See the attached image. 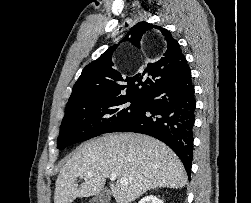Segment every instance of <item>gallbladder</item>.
<instances>
[{
    "label": "gallbladder",
    "instance_id": "bac80fb5",
    "mask_svg": "<svg viewBox=\"0 0 251 203\" xmlns=\"http://www.w3.org/2000/svg\"><path fill=\"white\" fill-rule=\"evenodd\" d=\"M110 191L109 189H103L99 194L90 200V203H109Z\"/></svg>",
    "mask_w": 251,
    "mask_h": 203
}]
</instances>
